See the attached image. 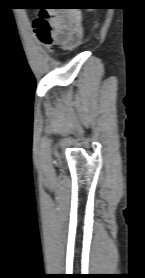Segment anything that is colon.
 Returning <instances> with one entry per match:
<instances>
[{
	"label": "colon",
	"instance_id": "colon-1",
	"mask_svg": "<svg viewBox=\"0 0 145 278\" xmlns=\"http://www.w3.org/2000/svg\"><path fill=\"white\" fill-rule=\"evenodd\" d=\"M61 7L72 8L77 10H82L86 8V6L83 3H67L61 5ZM37 8H39V11L37 13L36 19L34 20V28L41 42L44 44H48L51 41L53 31L51 11L55 7L47 6Z\"/></svg>",
	"mask_w": 145,
	"mask_h": 278
}]
</instances>
